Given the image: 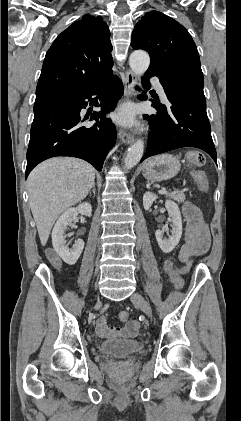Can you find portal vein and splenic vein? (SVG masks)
Segmentation results:
<instances>
[{
    "label": "portal vein and splenic vein",
    "instance_id": "18ae733b",
    "mask_svg": "<svg viewBox=\"0 0 241 421\" xmlns=\"http://www.w3.org/2000/svg\"><path fill=\"white\" fill-rule=\"evenodd\" d=\"M159 193L160 194H165V193H167V190L166 189H162V190L159 191Z\"/></svg>",
    "mask_w": 241,
    "mask_h": 421
}]
</instances>
